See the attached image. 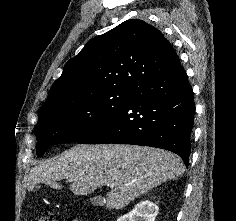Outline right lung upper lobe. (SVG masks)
<instances>
[{"label":"right lung upper lobe","mask_w":236,"mask_h":221,"mask_svg":"<svg viewBox=\"0 0 236 221\" xmlns=\"http://www.w3.org/2000/svg\"><path fill=\"white\" fill-rule=\"evenodd\" d=\"M176 59L171 43L158 29L139 19L127 20L88 41L65 64L41 108L100 92L133 90Z\"/></svg>","instance_id":"obj_1"}]
</instances>
